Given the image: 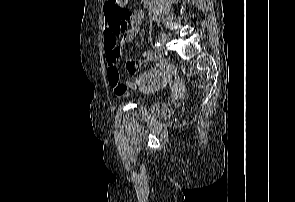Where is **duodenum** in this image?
Masks as SVG:
<instances>
[{
	"mask_svg": "<svg viewBox=\"0 0 295 202\" xmlns=\"http://www.w3.org/2000/svg\"><path fill=\"white\" fill-rule=\"evenodd\" d=\"M150 0H142L143 3H148Z\"/></svg>",
	"mask_w": 295,
	"mask_h": 202,
	"instance_id": "obj_1",
	"label": "duodenum"
}]
</instances>
